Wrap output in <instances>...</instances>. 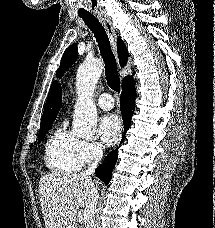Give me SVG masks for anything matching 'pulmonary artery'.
Here are the masks:
<instances>
[{
  "label": "pulmonary artery",
  "instance_id": "obj_1",
  "mask_svg": "<svg viewBox=\"0 0 215 228\" xmlns=\"http://www.w3.org/2000/svg\"><path fill=\"white\" fill-rule=\"evenodd\" d=\"M98 105L104 110H110L114 107V101L110 94H101L97 99Z\"/></svg>",
  "mask_w": 215,
  "mask_h": 228
}]
</instances>
